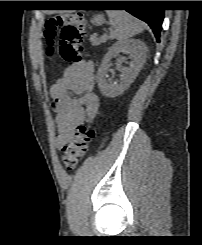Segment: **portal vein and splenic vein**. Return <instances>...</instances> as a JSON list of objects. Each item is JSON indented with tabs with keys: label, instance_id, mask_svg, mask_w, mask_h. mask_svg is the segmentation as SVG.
<instances>
[{
	"label": "portal vein and splenic vein",
	"instance_id": "portal-vein-and-splenic-vein-1",
	"mask_svg": "<svg viewBox=\"0 0 202 245\" xmlns=\"http://www.w3.org/2000/svg\"><path fill=\"white\" fill-rule=\"evenodd\" d=\"M102 37H103V38H106V37H107V35H103Z\"/></svg>",
	"mask_w": 202,
	"mask_h": 245
}]
</instances>
